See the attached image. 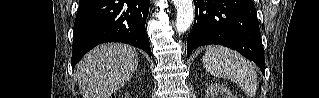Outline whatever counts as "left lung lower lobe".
Here are the masks:
<instances>
[{"mask_svg":"<svg viewBox=\"0 0 319 98\" xmlns=\"http://www.w3.org/2000/svg\"><path fill=\"white\" fill-rule=\"evenodd\" d=\"M195 22L187 39V56L196 47L220 44L254 61L263 74L265 60L252 0H194Z\"/></svg>","mask_w":319,"mask_h":98,"instance_id":"0a47b994","label":"left lung lower lobe"}]
</instances>
